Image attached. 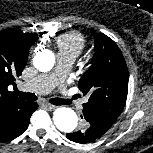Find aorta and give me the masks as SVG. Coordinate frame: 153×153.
I'll return each mask as SVG.
<instances>
[{"label":"aorta","instance_id":"1","mask_svg":"<svg viewBox=\"0 0 153 153\" xmlns=\"http://www.w3.org/2000/svg\"><path fill=\"white\" fill-rule=\"evenodd\" d=\"M55 63V56L50 50H42L34 58V66L42 72L50 71ZM53 121L58 130L71 133L78 125V117L71 108L59 107L54 111Z\"/></svg>","mask_w":153,"mask_h":153}]
</instances>
